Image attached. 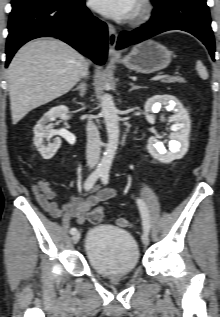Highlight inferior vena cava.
Returning <instances> with one entry per match:
<instances>
[{
    "label": "inferior vena cava",
    "instance_id": "602c4592",
    "mask_svg": "<svg viewBox=\"0 0 220 317\" xmlns=\"http://www.w3.org/2000/svg\"><path fill=\"white\" fill-rule=\"evenodd\" d=\"M87 75H88V68L86 66L82 73V76L86 77ZM86 132H87V149H86L87 164L90 168H94L99 161L101 140H100L99 131L91 119L88 120Z\"/></svg>",
    "mask_w": 220,
    "mask_h": 317
}]
</instances>
